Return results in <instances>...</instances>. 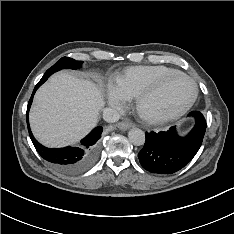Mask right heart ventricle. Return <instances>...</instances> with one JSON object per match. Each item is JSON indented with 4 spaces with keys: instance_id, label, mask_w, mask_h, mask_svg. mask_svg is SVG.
Returning <instances> with one entry per match:
<instances>
[{
    "instance_id": "1",
    "label": "right heart ventricle",
    "mask_w": 234,
    "mask_h": 234,
    "mask_svg": "<svg viewBox=\"0 0 234 234\" xmlns=\"http://www.w3.org/2000/svg\"><path fill=\"white\" fill-rule=\"evenodd\" d=\"M176 71L163 65L129 67L117 77L116 87L126 100H133L160 78Z\"/></svg>"
}]
</instances>
